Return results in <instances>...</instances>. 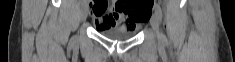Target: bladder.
Returning <instances> with one entry per match:
<instances>
[{"label": "bladder", "instance_id": "obj_1", "mask_svg": "<svg viewBox=\"0 0 235 62\" xmlns=\"http://www.w3.org/2000/svg\"><path fill=\"white\" fill-rule=\"evenodd\" d=\"M98 32L106 38L112 40H128L135 36L136 29H124V28H109V29H98Z\"/></svg>", "mask_w": 235, "mask_h": 62}]
</instances>
